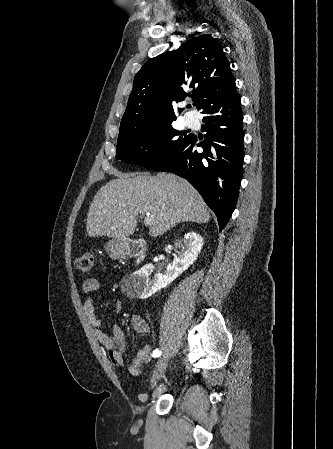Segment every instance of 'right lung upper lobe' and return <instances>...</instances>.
<instances>
[{"label":"right lung upper lobe","instance_id":"cb5924a9","mask_svg":"<svg viewBox=\"0 0 333 449\" xmlns=\"http://www.w3.org/2000/svg\"><path fill=\"white\" fill-rule=\"evenodd\" d=\"M189 87L191 93L184 89ZM236 92L223 48L211 35H198L176 51L150 59L136 74L118 140L175 120L173 103L193 97L198 110ZM183 108H178L179 113Z\"/></svg>","mask_w":333,"mask_h":449}]
</instances>
